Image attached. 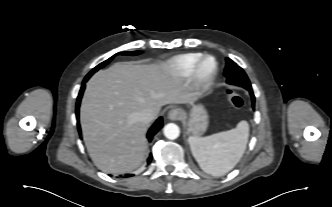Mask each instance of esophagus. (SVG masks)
<instances>
[{
    "label": "esophagus",
    "instance_id": "obj_1",
    "mask_svg": "<svg viewBox=\"0 0 332 207\" xmlns=\"http://www.w3.org/2000/svg\"><path fill=\"white\" fill-rule=\"evenodd\" d=\"M182 110L179 108H173L168 112V118L170 120H179L182 117Z\"/></svg>",
    "mask_w": 332,
    "mask_h": 207
}]
</instances>
